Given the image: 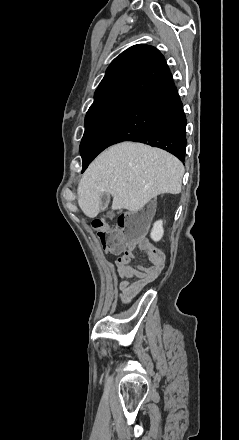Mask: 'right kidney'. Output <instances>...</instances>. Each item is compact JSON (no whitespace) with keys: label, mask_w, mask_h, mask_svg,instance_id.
Segmentation results:
<instances>
[{"label":"right kidney","mask_w":239,"mask_h":440,"mask_svg":"<svg viewBox=\"0 0 239 440\" xmlns=\"http://www.w3.org/2000/svg\"><path fill=\"white\" fill-rule=\"evenodd\" d=\"M162 226H163L162 220H158V222H155V224H153L152 232L150 234L152 240H161L164 234V230Z\"/></svg>","instance_id":"obj_1"}]
</instances>
